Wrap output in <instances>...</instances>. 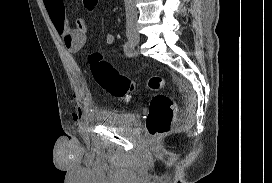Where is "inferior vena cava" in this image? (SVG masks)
<instances>
[{
    "mask_svg": "<svg viewBox=\"0 0 272 183\" xmlns=\"http://www.w3.org/2000/svg\"><path fill=\"white\" fill-rule=\"evenodd\" d=\"M126 10V29L130 31L135 29L137 23V10L135 0H124Z\"/></svg>",
    "mask_w": 272,
    "mask_h": 183,
    "instance_id": "1",
    "label": "inferior vena cava"
}]
</instances>
